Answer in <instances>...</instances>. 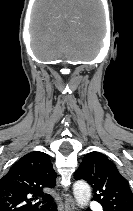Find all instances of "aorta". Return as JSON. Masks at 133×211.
I'll return each instance as SVG.
<instances>
[{
    "label": "aorta",
    "instance_id": "1",
    "mask_svg": "<svg viewBox=\"0 0 133 211\" xmlns=\"http://www.w3.org/2000/svg\"><path fill=\"white\" fill-rule=\"evenodd\" d=\"M73 193L77 205L80 208H84L88 205L91 198V189L88 183L85 181H77L73 185Z\"/></svg>",
    "mask_w": 133,
    "mask_h": 211
}]
</instances>
